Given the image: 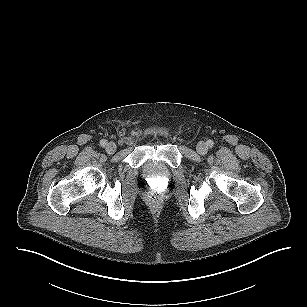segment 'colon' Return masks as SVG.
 I'll use <instances>...</instances> for the list:
<instances>
[{"mask_svg":"<svg viewBox=\"0 0 307 307\" xmlns=\"http://www.w3.org/2000/svg\"><path fill=\"white\" fill-rule=\"evenodd\" d=\"M149 199H150V202L153 204V205H156L160 202L161 200V197L159 195V193L157 192H152L149 196Z\"/></svg>","mask_w":307,"mask_h":307,"instance_id":"1","label":"colon"}]
</instances>
